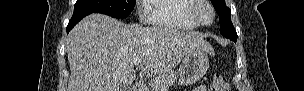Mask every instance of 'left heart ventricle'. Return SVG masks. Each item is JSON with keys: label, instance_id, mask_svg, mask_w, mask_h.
Wrapping results in <instances>:
<instances>
[{"label": "left heart ventricle", "instance_id": "obj_1", "mask_svg": "<svg viewBox=\"0 0 304 91\" xmlns=\"http://www.w3.org/2000/svg\"><path fill=\"white\" fill-rule=\"evenodd\" d=\"M199 14L200 18L205 22H208L211 19L210 11L207 8H203Z\"/></svg>", "mask_w": 304, "mask_h": 91}]
</instances>
